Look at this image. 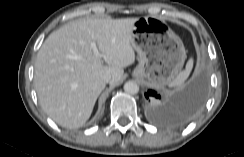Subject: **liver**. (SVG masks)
<instances>
[{"instance_id": "6515ba94", "label": "liver", "mask_w": 244, "mask_h": 157, "mask_svg": "<svg viewBox=\"0 0 244 157\" xmlns=\"http://www.w3.org/2000/svg\"><path fill=\"white\" fill-rule=\"evenodd\" d=\"M137 19H79L47 37L37 53L34 86L42 109L57 124L83 126L105 89L102 76L110 74L111 84L121 81L123 68L135 62L131 33Z\"/></svg>"}]
</instances>
